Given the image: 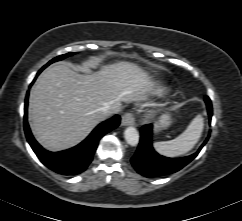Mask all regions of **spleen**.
Listing matches in <instances>:
<instances>
[{
	"label": "spleen",
	"mask_w": 242,
	"mask_h": 221,
	"mask_svg": "<svg viewBox=\"0 0 242 221\" xmlns=\"http://www.w3.org/2000/svg\"><path fill=\"white\" fill-rule=\"evenodd\" d=\"M204 128V120L197 115L189 124L187 129L170 141L155 142V150L166 157H177L190 151L198 142Z\"/></svg>",
	"instance_id": "obj_1"
}]
</instances>
